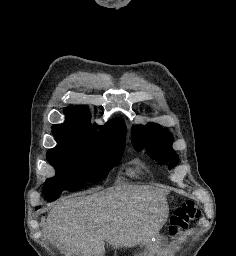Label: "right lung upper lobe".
<instances>
[{"instance_id": "1", "label": "right lung upper lobe", "mask_w": 236, "mask_h": 256, "mask_svg": "<svg viewBox=\"0 0 236 256\" xmlns=\"http://www.w3.org/2000/svg\"><path fill=\"white\" fill-rule=\"evenodd\" d=\"M67 116L65 123L53 125V133H70L86 138L125 142V125L120 119H113L104 126L91 124L90 113L85 109L68 107L64 111ZM97 127L101 131H97Z\"/></svg>"}]
</instances>
